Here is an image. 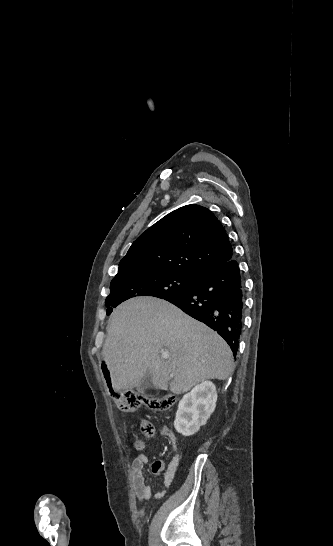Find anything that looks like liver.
I'll return each instance as SVG.
<instances>
[{
  "mask_svg": "<svg viewBox=\"0 0 333 546\" xmlns=\"http://www.w3.org/2000/svg\"><path fill=\"white\" fill-rule=\"evenodd\" d=\"M102 355L115 392L137 387L147 372L156 388L175 394L233 372L232 351L216 332L152 297L129 299L113 311Z\"/></svg>",
  "mask_w": 333,
  "mask_h": 546,
  "instance_id": "liver-1",
  "label": "liver"
}]
</instances>
